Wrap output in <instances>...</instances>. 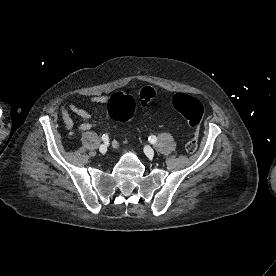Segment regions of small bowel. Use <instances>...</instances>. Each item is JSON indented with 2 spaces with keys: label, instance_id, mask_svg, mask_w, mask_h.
Here are the masks:
<instances>
[{
  "label": "small bowel",
  "instance_id": "obj_1",
  "mask_svg": "<svg viewBox=\"0 0 276 276\" xmlns=\"http://www.w3.org/2000/svg\"><path fill=\"white\" fill-rule=\"evenodd\" d=\"M108 101V98L104 95H96L89 98V102L94 104H105ZM62 118L64 120V123L68 129L73 128L74 122H73V114H76L80 117L81 123L79 125L80 131H87L92 128V121H91V115L88 111L85 109L77 106L74 103L64 105L61 109ZM126 143L125 139H117L113 141V146L115 148H120Z\"/></svg>",
  "mask_w": 276,
  "mask_h": 276
}]
</instances>
